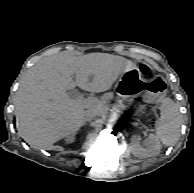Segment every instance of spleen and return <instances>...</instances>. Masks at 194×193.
Here are the masks:
<instances>
[{
  "mask_svg": "<svg viewBox=\"0 0 194 193\" xmlns=\"http://www.w3.org/2000/svg\"><path fill=\"white\" fill-rule=\"evenodd\" d=\"M161 116L156 124V134L166 146H171L178 140L182 123L179 106L166 98L161 105Z\"/></svg>",
  "mask_w": 194,
  "mask_h": 193,
  "instance_id": "1",
  "label": "spleen"
}]
</instances>
